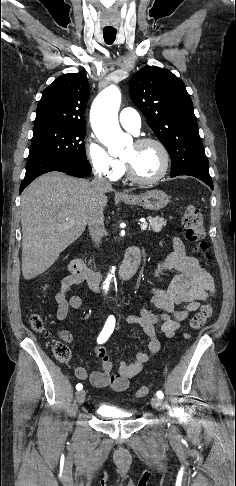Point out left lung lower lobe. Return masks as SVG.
<instances>
[{"label":"left lung lower lobe","mask_w":236,"mask_h":486,"mask_svg":"<svg viewBox=\"0 0 236 486\" xmlns=\"http://www.w3.org/2000/svg\"><path fill=\"white\" fill-rule=\"evenodd\" d=\"M179 175H190V176L196 177V178L200 179L201 181H203L204 183H206L213 190V182H212V179H211L210 176L202 175V174H199V173H196V172H183V173H179V174H172L171 177H176V176H179Z\"/></svg>","instance_id":"left-lung-lower-lobe-1"}]
</instances>
